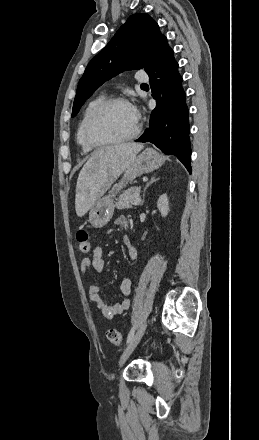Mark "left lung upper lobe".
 Wrapping results in <instances>:
<instances>
[{
  "instance_id": "obj_1",
  "label": "left lung upper lobe",
  "mask_w": 259,
  "mask_h": 440,
  "mask_svg": "<svg viewBox=\"0 0 259 440\" xmlns=\"http://www.w3.org/2000/svg\"><path fill=\"white\" fill-rule=\"evenodd\" d=\"M166 37L143 13L129 17L110 42L88 64L79 80L72 117L104 82L125 70L146 69Z\"/></svg>"
}]
</instances>
